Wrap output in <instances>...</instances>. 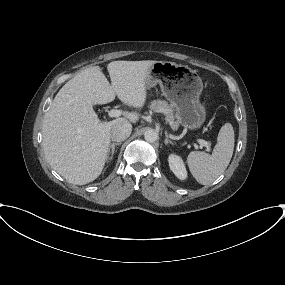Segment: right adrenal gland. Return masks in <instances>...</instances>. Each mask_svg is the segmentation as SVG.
Returning a JSON list of instances; mask_svg holds the SVG:
<instances>
[{
    "instance_id": "right-adrenal-gland-1",
    "label": "right adrenal gland",
    "mask_w": 285,
    "mask_h": 285,
    "mask_svg": "<svg viewBox=\"0 0 285 285\" xmlns=\"http://www.w3.org/2000/svg\"><path fill=\"white\" fill-rule=\"evenodd\" d=\"M121 145V142H118V143H112L109 148H108V153H107V156H108V159L111 160L113 158V155H114V152H115V146H119ZM111 153V156L109 157V154Z\"/></svg>"
}]
</instances>
